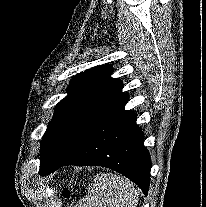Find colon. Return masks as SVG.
<instances>
[{
	"label": "colon",
	"instance_id": "1",
	"mask_svg": "<svg viewBox=\"0 0 206 207\" xmlns=\"http://www.w3.org/2000/svg\"><path fill=\"white\" fill-rule=\"evenodd\" d=\"M69 195H70L69 192H66V193H65V196H66V197H68Z\"/></svg>",
	"mask_w": 206,
	"mask_h": 207
}]
</instances>
